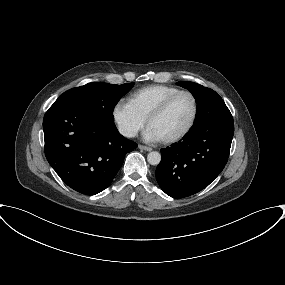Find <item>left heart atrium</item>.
Listing matches in <instances>:
<instances>
[{
    "label": "left heart atrium",
    "mask_w": 285,
    "mask_h": 285,
    "mask_svg": "<svg viewBox=\"0 0 285 285\" xmlns=\"http://www.w3.org/2000/svg\"><path fill=\"white\" fill-rule=\"evenodd\" d=\"M144 137L149 142L160 141L159 138L155 135V133L151 129H149V128L146 130V132L144 134Z\"/></svg>",
    "instance_id": "1"
}]
</instances>
